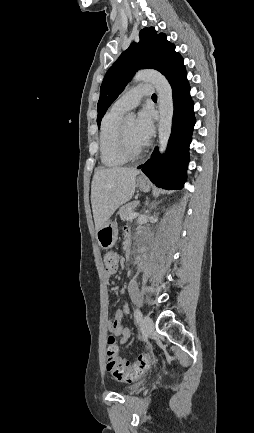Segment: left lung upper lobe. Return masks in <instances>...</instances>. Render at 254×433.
<instances>
[{
	"label": "left lung upper lobe",
	"mask_w": 254,
	"mask_h": 433,
	"mask_svg": "<svg viewBox=\"0 0 254 433\" xmlns=\"http://www.w3.org/2000/svg\"><path fill=\"white\" fill-rule=\"evenodd\" d=\"M179 57L181 56L175 52V46L167 41L165 34H157L153 27L142 29L139 43L133 42L109 68L104 77L97 105L98 126L108 107L123 91L138 69H156L165 75Z\"/></svg>",
	"instance_id": "obj_1"
}]
</instances>
